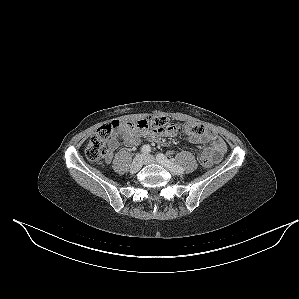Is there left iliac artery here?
I'll use <instances>...</instances> for the list:
<instances>
[{
	"label": "left iliac artery",
	"instance_id": "left-iliac-artery-1",
	"mask_svg": "<svg viewBox=\"0 0 299 299\" xmlns=\"http://www.w3.org/2000/svg\"><path fill=\"white\" fill-rule=\"evenodd\" d=\"M157 160H159L160 162L164 163L171 171H173L176 174H183L184 173V169L178 165H176L172 160H169L165 155L159 153L156 156Z\"/></svg>",
	"mask_w": 299,
	"mask_h": 299
}]
</instances>
